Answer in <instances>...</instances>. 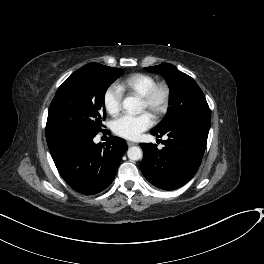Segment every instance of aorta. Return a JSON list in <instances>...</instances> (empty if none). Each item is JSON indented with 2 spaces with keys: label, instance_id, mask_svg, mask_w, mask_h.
Returning <instances> with one entry per match:
<instances>
[{
  "label": "aorta",
  "instance_id": "aorta-1",
  "mask_svg": "<svg viewBox=\"0 0 264 264\" xmlns=\"http://www.w3.org/2000/svg\"><path fill=\"white\" fill-rule=\"evenodd\" d=\"M123 108L131 115L141 112L142 105L138 97L129 96L123 100ZM127 156L132 161H137L142 158V150L140 147L133 146L127 151Z\"/></svg>",
  "mask_w": 264,
  "mask_h": 264
}]
</instances>
